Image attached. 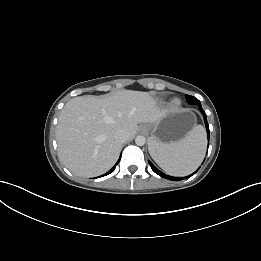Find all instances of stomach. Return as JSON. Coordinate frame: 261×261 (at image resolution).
Listing matches in <instances>:
<instances>
[{
	"label": "stomach",
	"mask_w": 261,
	"mask_h": 261,
	"mask_svg": "<svg viewBox=\"0 0 261 261\" xmlns=\"http://www.w3.org/2000/svg\"><path fill=\"white\" fill-rule=\"evenodd\" d=\"M195 125V114L190 110L183 109L168 111L159 121L141 126V130L150 133V139L153 141L171 143L181 140Z\"/></svg>",
	"instance_id": "0dacf381"
}]
</instances>
